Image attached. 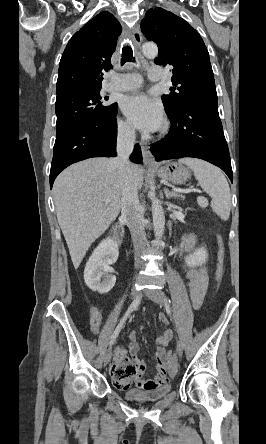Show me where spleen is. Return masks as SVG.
Returning <instances> with one entry per match:
<instances>
[{"label":"spleen","mask_w":266,"mask_h":444,"mask_svg":"<svg viewBox=\"0 0 266 444\" xmlns=\"http://www.w3.org/2000/svg\"><path fill=\"white\" fill-rule=\"evenodd\" d=\"M179 163L189 166L200 186L211 197V208L222 220L226 221L230 215L231 194L229 184L223 172L197 158H181Z\"/></svg>","instance_id":"obj_1"}]
</instances>
